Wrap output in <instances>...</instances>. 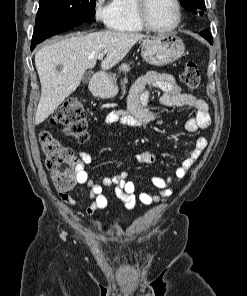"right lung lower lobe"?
Here are the masks:
<instances>
[{
	"label": "right lung lower lobe",
	"mask_w": 247,
	"mask_h": 296,
	"mask_svg": "<svg viewBox=\"0 0 247 296\" xmlns=\"http://www.w3.org/2000/svg\"><path fill=\"white\" fill-rule=\"evenodd\" d=\"M36 44H37V43H32V44H31V50H33V49L35 48Z\"/></svg>",
	"instance_id": "1"
}]
</instances>
